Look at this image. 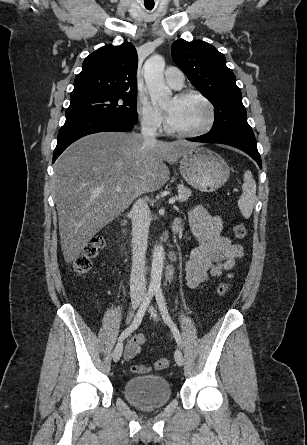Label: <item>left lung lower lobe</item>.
I'll use <instances>...</instances> for the list:
<instances>
[{
    "instance_id": "1",
    "label": "left lung lower lobe",
    "mask_w": 307,
    "mask_h": 445,
    "mask_svg": "<svg viewBox=\"0 0 307 445\" xmlns=\"http://www.w3.org/2000/svg\"><path fill=\"white\" fill-rule=\"evenodd\" d=\"M189 141L220 143L238 148L252 157L260 168H262L260 154L257 150L256 139L252 131L230 129L190 138Z\"/></svg>"
}]
</instances>
